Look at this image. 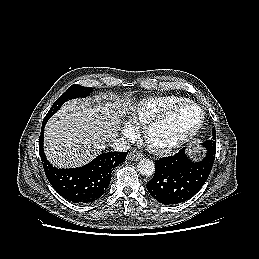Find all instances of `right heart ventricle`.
I'll list each match as a JSON object with an SVG mask.
<instances>
[{
    "label": "right heart ventricle",
    "mask_w": 259,
    "mask_h": 259,
    "mask_svg": "<svg viewBox=\"0 0 259 259\" xmlns=\"http://www.w3.org/2000/svg\"><path fill=\"white\" fill-rule=\"evenodd\" d=\"M186 101L187 99L174 95L142 99L133 106L130 113V122L136 126L145 125L171 107Z\"/></svg>",
    "instance_id": "right-heart-ventricle-1"
}]
</instances>
